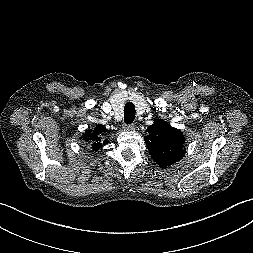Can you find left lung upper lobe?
Wrapping results in <instances>:
<instances>
[{"mask_svg": "<svg viewBox=\"0 0 253 253\" xmlns=\"http://www.w3.org/2000/svg\"><path fill=\"white\" fill-rule=\"evenodd\" d=\"M146 145L152 159L161 167L171 166L185 154L183 133L164 120L155 119L147 128Z\"/></svg>", "mask_w": 253, "mask_h": 253, "instance_id": "1", "label": "left lung upper lobe"}]
</instances>
